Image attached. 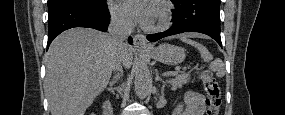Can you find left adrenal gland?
I'll return each mask as SVG.
<instances>
[{
    "label": "left adrenal gland",
    "mask_w": 285,
    "mask_h": 115,
    "mask_svg": "<svg viewBox=\"0 0 285 115\" xmlns=\"http://www.w3.org/2000/svg\"><path fill=\"white\" fill-rule=\"evenodd\" d=\"M155 81H161L163 83L161 87V93L163 94L164 88H165V82L162 80V78L159 76L158 70H156V76H155Z\"/></svg>",
    "instance_id": "a2214340"
}]
</instances>
